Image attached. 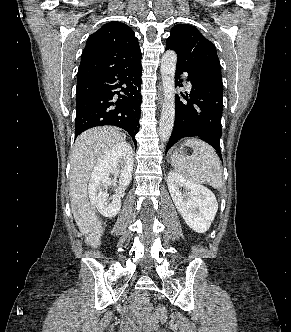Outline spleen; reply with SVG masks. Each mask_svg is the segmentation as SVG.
<instances>
[{
  "label": "spleen",
  "mask_w": 291,
  "mask_h": 332,
  "mask_svg": "<svg viewBox=\"0 0 291 332\" xmlns=\"http://www.w3.org/2000/svg\"><path fill=\"white\" fill-rule=\"evenodd\" d=\"M193 149V154L186 157H172V166L185 179L222 188L221 162L215 150L206 142L191 138L184 142Z\"/></svg>",
  "instance_id": "obj_1"
}]
</instances>
